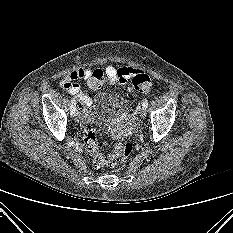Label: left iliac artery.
<instances>
[{
	"instance_id": "1",
	"label": "left iliac artery",
	"mask_w": 233,
	"mask_h": 233,
	"mask_svg": "<svg viewBox=\"0 0 233 233\" xmlns=\"http://www.w3.org/2000/svg\"><path fill=\"white\" fill-rule=\"evenodd\" d=\"M143 108H147L148 107V100L144 99L143 103H142Z\"/></svg>"
}]
</instances>
